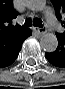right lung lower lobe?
Instances as JSON below:
<instances>
[{
  "instance_id": "98d812e1",
  "label": "right lung lower lobe",
  "mask_w": 65,
  "mask_h": 89,
  "mask_svg": "<svg viewBox=\"0 0 65 89\" xmlns=\"http://www.w3.org/2000/svg\"><path fill=\"white\" fill-rule=\"evenodd\" d=\"M31 35V30L26 29L22 33L0 39V68L12 64L21 50L24 40Z\"/></svg>"
}]
</instances>
